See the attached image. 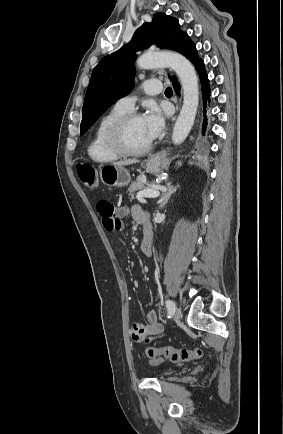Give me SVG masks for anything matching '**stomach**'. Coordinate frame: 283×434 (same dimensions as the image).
<instances>
[{
	"label": "stomach",
	"instance_id": "obj_1",
	"mask_svg": "<svg viewBox=\"0 0 283 434\" xmlns=\"http://www.w3.org/2000/svg\"><path fill=\"white\" fill-rule=\"evenodd\" d=\"M163 161L156 156H150L146 161V170L152 174L161 172ZM101 181L107 186L124 187L130 182V174L123 166L106 165L101 169Z\"/></svg>",
	"mask_w": 283,
	"mask_h": 434
}]
</instances>
